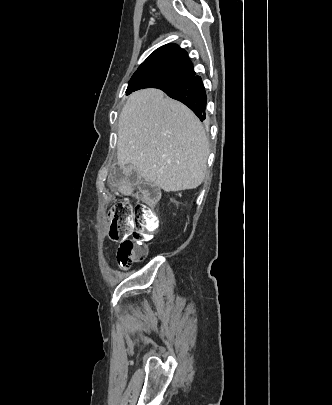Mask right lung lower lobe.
Listing matches in <instances>:
<instances>
[{
	"instance_id": "1",
	"label": "right lung lower lobe",
	"mask_w": 332,
	"mask_h": 405,
	"mask_svg": "<svg viewBox=\"0 0 332 405\" xmlns=\"http://www.w3.org/2000/svg\"><path fill=\"white\" fill-rule=\"evenodd\" d=\"M168 96L188 106L203 121L207 96L200 76H192L173 86L161 88ZM129 91L127 94H130Z\"/></svg>"
}]
</instances>
